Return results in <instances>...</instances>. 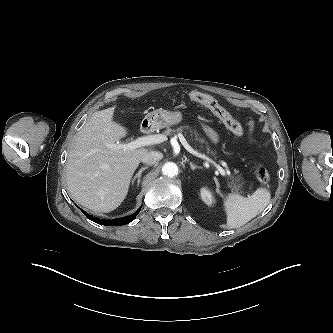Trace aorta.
I'll list each match as a JSON object with an SVG mask.
<instances>
[{
	"instance_id": "obj_1",
	"label": "aorta",
	"mask_w": 333,
	"mask_h": 333,
	"mask_svg": "<svg viewBox=\"0 0 333 333\" xmlns=\"http://www.w3.org/2000/svg\"><path fill=\"white\" fill-rule=\"evenodd\" d=\"M162 173L169 177H174L178 174V166L173 162H167L162 167Z\"/></svg>"
}]
</instances>
